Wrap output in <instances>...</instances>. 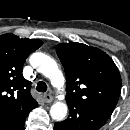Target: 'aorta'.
Wrapping results in <instances>:
<instances>
[{"label": "aorta", "mask_w": 130, "mask_h": 130, "mask_svg": "<svg viewBox=\"0 0 130 130\" xmlns=\"http://www.w3.org/2000/svg\"><path fill=\"white\" fill-rule=\"evenodd\" d=\"M30 64L47 77L54 87H62L65 83V78L62 71L58 68L54 59L48 55L35 52L29 58ZM68 107L63 101H56L50 109L51 117L56 121H61L67 115Z\"/></svg>", "instance_id": "1"}]
</instances>
